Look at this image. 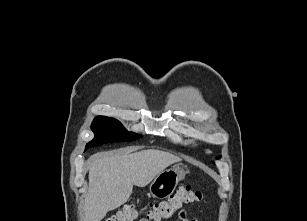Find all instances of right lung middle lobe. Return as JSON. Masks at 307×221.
Wrapping results in <instances>:
<instances>
[{
    "mask_svg": "<svg viewBox=\"0 0 307 221\" xmlns=\"http://www.w3.org/2000/svg\"><path fill=\"white\" fill-rule=\"evenodd\" d=\"M91 129L95 134V138L87 143L85 150L104 143L128 142L141 137V135L125 130L116 119L106 116H97L91 125Z\"/></svg>",
    "mask_w": 307,
    "mask_h": 221,
    "instance_id": "1",
    "label": "right lung middle lobe"
}]
</instances>
